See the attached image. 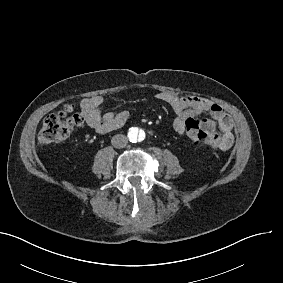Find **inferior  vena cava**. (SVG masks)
<instances>
[{"label": "inferior vena cava", "mask_w": 283, "mask_h": 283, "mask_svg": "<svg viewBox=\"0 0 283 283\" xmlns=\"http://www.w3.org/2000/svg\"><path fill=\"white\" fill-rule=\"evenodd\" d=\"M128 143V138L123 134L114 135L111 139V144L115 148H124Z\"/></svg>", "instance_id": "inferior-vena-cava-1"}]
</instances>
